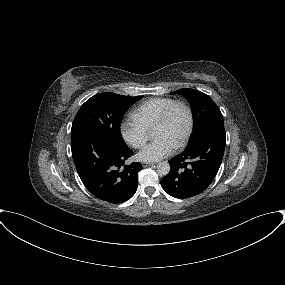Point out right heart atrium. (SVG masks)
<instances>
[{"mask_svg":"<svg viewBox=\"0 0 285 285\" xmlns=\"http://www.w3.org/2000/svg\"><path fill=\"white\" fill-rule=\"evenodd\" d=\"M120 132L126 143L134 148H140L149 138V129L134 114L123 118Z\"/></svg>","mask_w":285,"mask_h":285,"instance_id":"obj_1","label":"right heart atrium"}]
</instances>
